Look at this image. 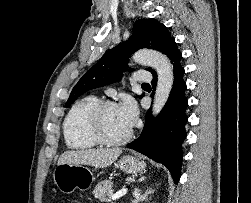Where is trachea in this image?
Listing matches in <instances>:
<instances>
[{"instance_id": "1", "label": "trachea", "mask_w": 251, "mask_h": 203, "mask_svg": "<svg viewBox=\"0 0 251 203\" xmlns=\"http://www.w3.org/2000/svg\"><path fill=\"white\" fill-rule=\"evenodd\" d=\"M149 84L145 83V84H142V86H148Z\"/></svg>"}]
</instances>
